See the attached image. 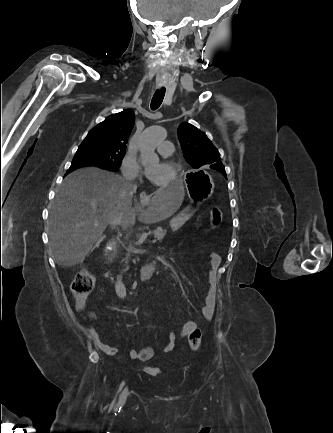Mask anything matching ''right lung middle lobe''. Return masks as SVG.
Here are the masks:
<instances>
[{"instance_id": "obj_1", "label": "right lung middle lobe", "mask_w": 333, "mask_h": 433, "mask_svg": "<svg viewBox=\"0 0 333 433\" xmlns=\"http://www.w3.org/2000/svg\"><path fill=\"white\" fill-rule=\"evenodd\" d=\"M125 155V149L100 147L92 142H82L72 163H89L116 171Z\"/></svg>"}]
</instances>
